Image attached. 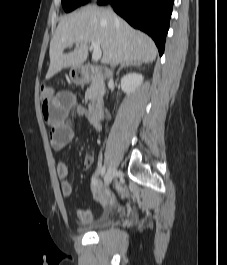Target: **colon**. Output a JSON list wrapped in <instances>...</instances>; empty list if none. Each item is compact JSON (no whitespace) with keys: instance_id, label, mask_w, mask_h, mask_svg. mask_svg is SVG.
<instances>
[{"instance_id":"1","label":"colon","mask_w":227,"mask_h":265,"mask_svg":"<svg viewBox=\"0 0 227 265\" xmlns=\"http://www.w3.org/2000/svg\"><path fill=\"white\" fill-rule=\"evenodd\" d=\"M39 92H40L41 104L42 102H51L54 99L53 89L48 85H42L40 87ZM116 188L123 198L130 197L128 190L123 185L117 184Z\"/></svg>"}]
</instances>
